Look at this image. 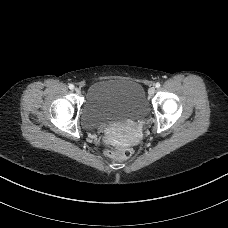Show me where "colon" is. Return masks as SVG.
Instances as JSON below:
<instances>
[{"instance_id":"1","label":"colon","mask_w":228,"mask_h":228,"mask_svg":"<svg viewBox=\"0 0 228 228\" xmlns=\"http://www.w3.org/2000/svg\"><path fill=\"white\" fill-rule=\"evenodd\" d=\"M108 155L118 160L127 159L132 156L130 148L120 143H112L111 150L108 151Z\"/></svg>"}]
</instances>
